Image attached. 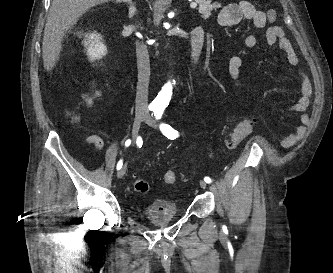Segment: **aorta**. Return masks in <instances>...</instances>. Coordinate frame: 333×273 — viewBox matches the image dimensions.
I'll use <instances>...</instances> for the list:
<instances>
[{
    "instance_id": "1",
    "label": "aorta",
    "mask_w": 333,
    "mask_h": 273,
    "mask_svg": "<svg viewBox=\"0 0 333 273\" xmlns=\"http://www.w3.org/2000/svg\"><path fill=\"white\" fill-rule=\"evenodd\" d=\"M171 94H172V86L170 83H167L159 92L158 96L155 99V102L158 105H164L170 100Z\"/></svg>"
}]
</instances>
